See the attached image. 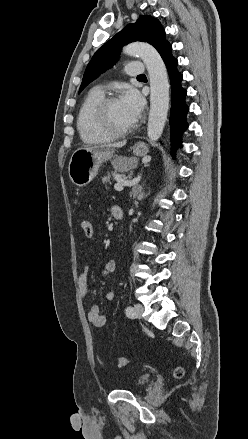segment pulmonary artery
<instances>
[{"instance_id": "obj_1", "label": "pulmonary artery", "mask_w": 248, "mask_h": 439, "mask_svg": "<svg viewBox=\"0 0 248 439\" xmlns=\"http://www.w3.org/2000/svg\"><path fill=\"white\" fill-rule=\"evenodd\" d=\"M145 72V65L143 62L136 61V62H130L127 64L126 67V74L128 76H140L144 74ZM101 92H103V89L101 87L97 88Z\"/></svg>"}]
</instances>
